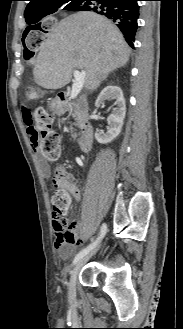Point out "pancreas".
<instances>
[{"mask_svg":"<svg viewBox=\"0 0 183 329\" xmlns=\"http://www.w3.org/2000/svg\"><path fill=\"white\" fill-rule=\"evenodd\" d=\"M66 110H68V107L66 105H62V109H61V112L59 113H63L65 112ZM69 115H72L73 117H76V113H72L70 112ZM70 131L73 133L74 132V128L71 126L70 127Z\"/></svg>","mask_w":183,"mask_h":329,"instance_id":"cf45deb5","label":"pancreas"}]
</instances>
